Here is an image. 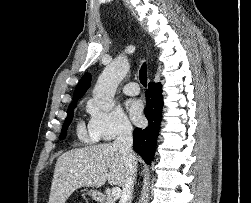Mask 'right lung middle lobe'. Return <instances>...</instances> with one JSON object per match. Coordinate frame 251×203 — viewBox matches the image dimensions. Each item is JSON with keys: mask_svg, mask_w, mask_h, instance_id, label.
Returning <instances> with one entry per match:
<instances>
[{"mask_svg": "<svg viewBox=\"0 0 251 203\" xmlns=\"http://www.w3.org/2000/svg\"><path fill=\"white\" fill-rule=\"evenodd\" d=\"M76 104H77V102H74V103L70 104L68 107L67 117H66L65 122L62 127V133L59 136V139H61V140L64 139L66 136L67 128H68L69 124L71 123L73 116H74V109L76 107Z\"/></svg>", "mask_w": 251, "mask_h": 203, "instance_id": "right-lung-middle-lobe-1", "label": "right lung middle lobe"}]
</instances>
